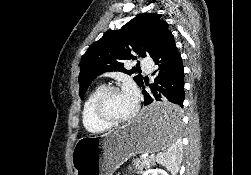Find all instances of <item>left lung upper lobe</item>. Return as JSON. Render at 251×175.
Returning <instances> with one entry per match:
<instances>
[{"instance_id": "left-lung-upper-lobe-1", "label": "left lung upper lobe", "mask_w": 251, "mask_h": 175, "mask_svg": "<svg viewBox=\"0 0 251 175\" xmlns=\"http://www.w3.org/2000/svg\"><path fill=\"white\" fill-rule=\"evenodd\" d=\"M169 33L168 24L157 13H143L121 29L107 31L82 57L78 78L81 99L90 83L104 72L116 70L129 75L134 73L135 68L126 70L124 62L136 60L137 57H152L160 50ZM134 80L142 86L141 75L135 76Z\"/></svg>"}]
</instances>
